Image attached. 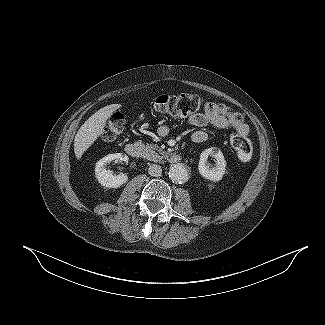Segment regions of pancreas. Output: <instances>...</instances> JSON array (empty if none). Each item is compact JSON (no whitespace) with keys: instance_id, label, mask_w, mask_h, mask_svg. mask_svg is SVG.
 I'll use <instances>...</instances> for the list:
<instances>
[{"instance_id":"pancreas-1","label":"pancreas","mask_w":325,"mask_h":325,"mask_svg":"<svg viewBox=\"0 0 325 325\" xmlns=\"http://www.w3.org/2000/svg\"><path fill=\"white\" fill-rule=\"evenodd\" d=\"M143 157L150 161L162 162L167 153L156 144H146L143 145Z\"/></svg>"}]
</instances>
